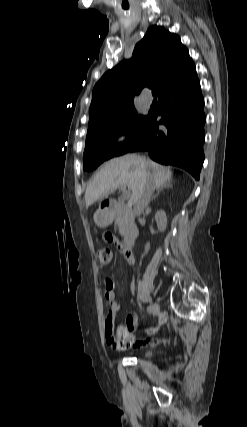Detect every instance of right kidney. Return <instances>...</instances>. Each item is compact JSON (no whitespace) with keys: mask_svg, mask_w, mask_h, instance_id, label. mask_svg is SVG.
Wrapping results in <instances>:
<instances>
[{"mask_svg":"<svg viewBox=\"0 0 247 427\" xmlns=\"http://www.w3.org/2000/svg\"><path fill=\"white\" fill-rule=\"evenodd\" d=\"M155 220L157 223L158 230L164 232L167 226V216L165 211L159 210L155 213Z\"/></svg>","mask_w":247,"mask_h":427,"instance_id":"ca27d5eb","label":"right kidney"}]
</instances>
